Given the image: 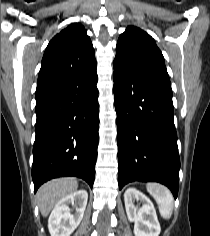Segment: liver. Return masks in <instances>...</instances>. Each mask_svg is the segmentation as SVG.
I'll use <instances>...</instances> for the list:
<instances>
[{
  "label": "liver",
  "mask_w": 210,
  "mask_h": 236,
  "mask_svg": "<svg viewBox=\"0 0 210 236\" xmlns=\"http://www.w3.org/2000/svg\"><path fill=\"white\" fill-rule=\"evenodd\" d=\"M78 189L74 178H60L43 184L37 192V201L43 217H47L53 207L64 197Z\"/></svg>",
  "instance_id": "6515ba94"
}]
</instances>
